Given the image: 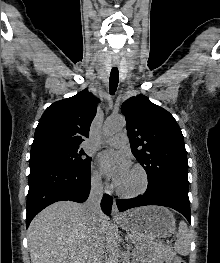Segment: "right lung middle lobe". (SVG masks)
<instances>
[{"label": "right lung middle lobe", "mask_w": 220, "mask_h": 263, "mask_svg": "<svg viewBox=\"0 0 220 263\" xmlns=\"http://www.w3.org/2000/svg\"><path fill=\"white\" fill-rule=\"evenodd\" d=\"M79 147L64 149H46L30 154V159H47L74 168H86L91 164V158Z\"/></svg>", "instance_id": "obj_1"}]
</instances>
